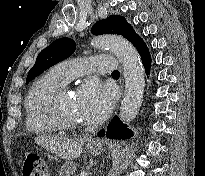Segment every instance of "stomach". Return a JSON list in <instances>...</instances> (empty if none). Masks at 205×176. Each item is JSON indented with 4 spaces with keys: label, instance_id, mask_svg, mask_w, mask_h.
Masks as SVG:
<instances>
[{
    "label": "stomach",
    "instance_id": "obj_1",
    "mask_svg": "<svg viewBox=\"0 0 205 176\" xmlns=\"http://www.w3.org/2000/svg\"><path fill=\"white\" fill-rule=\"evenodd\" d=\"M87 151L91 155H99L103 151V145L99 140H88ZM76 170V165L72 161H66L61 170V176H72Z\"/></svg>",
    "mask_w": 205,
    "mask_h": 176
}]
</instances>
